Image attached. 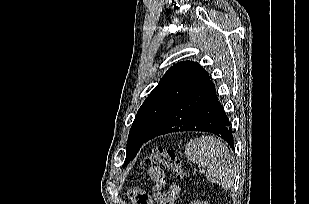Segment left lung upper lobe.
Here are the masks:
<instances>
[{
	"label": "left lung upper lobe",
	"instance_id": "5c2ea615",
	"mask_svg": "<svg viewBox=\"0 0 309 204\" xmlns=\"http://www.w3.org/2000/svg\"><path fill=\"white\" fill-rule=\"evenodd\" d=\"M209 80L208 73L196 62L183 61L171 67L138 110L128 136L123 166L134 159L146 135L163 113Z\"/></svg>",
	"mask_w": 309,
	"mask_h": 204
}]
</instances>
